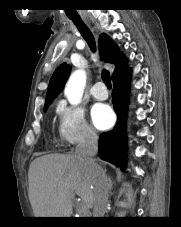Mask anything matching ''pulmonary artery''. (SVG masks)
Segmentation results:
<instances>
[{
  "mask_svg": "<svg viewBox=\"0 0 181 227\" xmlns=\"http://www.w3.org/2000/svg\"><path fill=\"white\" fill-rule=\"evenodd\" d=\"M90 92L96 100H106L108 98V91L102 82H96Z\"/></svg>",
  "mask_w": 181,
  "mask_h": 227,
  "instance_id": "obj_1",
  "label": "pulmonary artery"
}]
</instances>
